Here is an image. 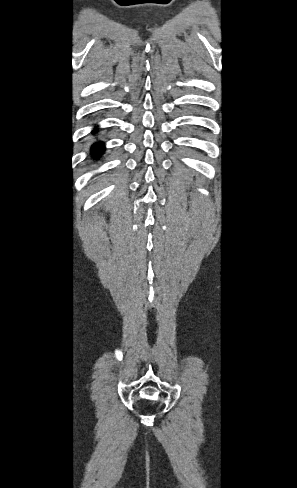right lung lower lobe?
<instances>
[{
  "label": "right lung lower lobe",
  "mask_w": 297,
  "mask_h": 488,
  "mask_svg": "<svg viewBox=\"0 0 297 488\" xmlns=\"http://www.w3.org/2000/svg\"><path fill=\"white\" fill-rule=\"evenodd\" d=\"M103 149H104V146L102 145V143H96L92 147V153L95 157L100 156L103 152Z\"/></svg>",
  "instance_id": "right-lung-lower-lobe-1"
}]
</instances>
